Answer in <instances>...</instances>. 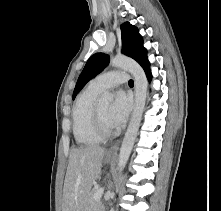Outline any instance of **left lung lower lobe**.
<instances>
[{"mask_svg": "<svg viewBox=\"0 0 221 211\" xmlns=\"http://www.w3.org/2000/svg\"><path fill=\"white\" fill-rule=\"evenodd\" d=\"M147 75L148 80H151V72H150V63L148 60H146L142 65H141Z\"/></svg>", "mask_w": 221, "mask_h": 211, "instance_id": "1", "label": "left lung lower lobe"}]
</instances>
